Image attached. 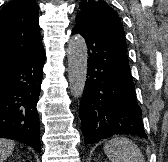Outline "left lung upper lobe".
I'll list each match as a JSON object with an SVG mask.
<instances>
[{
    "instance_id": "obj_1",
    "label": "left lung upper lobe",
    "mask_w": 168,
    "mask_h": 162,
    "mask_svg": "<svg viewBox=\"0 0 168 162\" xmlns=\"http://www.w3.org/2000/svg\"><path fill=\"white\" fill-rule=\"evenodd\" d=\"M75 21L88 24L110 40L127 48L118 14L104 0H82Z\"/></svg>"
}]
</instances>
